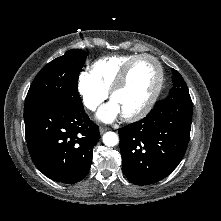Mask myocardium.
Returning a JSON list of instances; mask_svg holds the SVG:
<instances>
[{
  "label": "myocardium",
  "instance_id": "1",
  "mask_svg": "<svg viewBox=\"0 0 221 221\" xmlns=\"http://www.w3.org/2000/svg\"><path fill=\"white\" fill-rule=\"evenodd\" d=\"M142 59H148V60H151L152 62H154V64L157 67V70H158V81H157L156 87H155L152 95L150 96V98L148 99L146 104L139 111H137L133 114L122 115L123 119L128 122L138 121V120L142 119L143 117H145L150 112V110L152 109V107L156 103V101L161 93V90L163 88V84H164V70H163V67H162V64L160 63V61L152 55L140 54V55H137L136 57H134L133 59H131L122 68V70L120 71L119 75L117 76L114 84L112 85V87L109 91L110 99L112 100L115 93H117L124 86L132 67L138 61H140Z\"/></svg>",
  "mask_w": 221,
  "mask_h": 221
}]
</instances>
